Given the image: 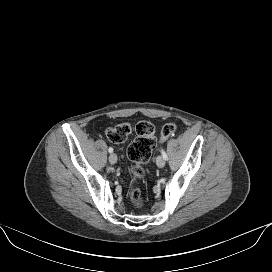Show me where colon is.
<instances>
[{
    "label": "colon",
    "instance_id": "obj_1",
    "mask_svg": "<svg viewBox=\"0 0 272 272\" xmlns=\"http://www.w3.org/2000/svg\"><path fill=\"white\" fill-rule=\"evenodd\" d=\"M175 123L165 124L160 132V139L165 140L176 131ZM135 131L136 138L129 145L127 155L133 162L131 173V184L129 187V197L132 204L141 208L144 205V198L141 190L135 186V181L145 176L143 165L151 158L152 152L156 145L155 127L146 120L138 121L136 124L122 123L106 130V137L113 143H122L128 136Z\"/></svg>",
    "mask_w": 272,
    "mask_h": 272
}]
</instances>
